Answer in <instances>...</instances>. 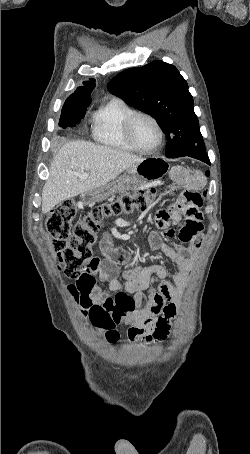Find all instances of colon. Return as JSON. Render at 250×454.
<instances>
[{
  "label": "colon",
  "mask_w": 250,
  "mask_h": 454,
  "mask_svg": "<svg viewBox=\"0 0 250 454\" xmlns=\"http://www.w3.org/2000/svg\"><path fill=\"white\" fill-rule=\"evenodd\" d=\"M157 197L158 192L155 189L123 193L114 200L93 208L74 226V201L67 199L56 204L46 220V229L52 237L60 270L70 279L79 277L95 258L97 233L103 221L117 215L143 211L153 204ZM68 290L76 300L79 299L75 284H70ZM88 316L92 324L104 332L107 340L116 341L119 338L116 326L120 321L105 307L92 305Z\"/></svg>",
  "instance_id": "1"
}]
</instances>
